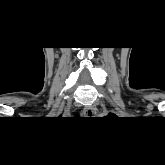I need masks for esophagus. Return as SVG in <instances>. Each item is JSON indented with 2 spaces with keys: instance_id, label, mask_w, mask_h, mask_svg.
Masks as SVG:
<instances>
[{
  "instance_id": "esophagus-1",
  "label": "esophagus",
  "mask_w": 165,
  "mask_h": 165,
  "mask_svg": "<svg viewBox=\"0 0 165 165\" xmlns=\"http://www.w3.org/2000/svg\"><path fill=\"white\" fill-rule=\"evenodd\" d=\"M85 117H94L96 115V110L93 106H86L83 110Z\"/></svg>"
}]
</instances>
